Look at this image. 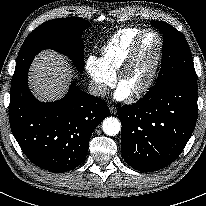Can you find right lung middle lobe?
<instances>
[{"label": "right lung middle lobe", "mask_w": 206, "mask_h": 206, "mask_svg": "<svg viewBox=\"0 0 206 206\" xmlns=\"http://www.w3.org/2000/svg\"><path fill=\"white\" fill-rule=\"evenodd\" d=\"M84 19L67 17L47 21L32 31L24 41L16 61L12 85L24 78L37 53L52 49L69 56L79 72L84 70V45L81 33L90 27Z\"/></svg>", "instance_id": "dd1d6c3e"}]
</instances>
